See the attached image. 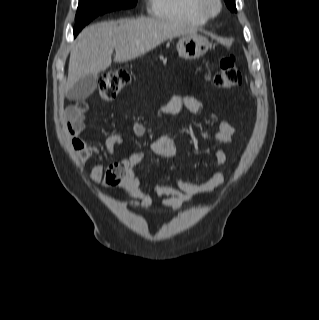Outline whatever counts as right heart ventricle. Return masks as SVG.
<instances>
[{"instance_id": "e07e8e85", "label": "right heart ventricle", "mask_w": 319, "mask_h": 320, "mask_svg": "<svg viewBox=\"0 0 319 320\" xmlns=\"http://www.w3.org/2000/svg\"><path fill=\"white\" fill-rule=\"evenodd\" d=\"M148 8L157 19L188 26L201 27L208 21L197 11L195 0H148Z\"/></svg>"}]
</instances>
